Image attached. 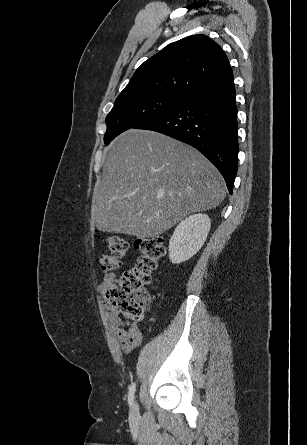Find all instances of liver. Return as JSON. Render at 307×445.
Here are the masks:
<instances>
[{"instance_id":"6515ba94","label":"liver","mask_w":307,"mask_h":445,"mask_svg":"<svg viewBox=\"0 0 307 445\" xmlns=\"http://www.w3.org/2000/svg\"><path fill=\"white\" fill-rule=\"evenodd\" d=\"M105 152L91 204L102 233L155 239L187 214L215 208L226 196L224 180L210 160L161 132L130 128Z\"/></svg>"}]
</instances>
